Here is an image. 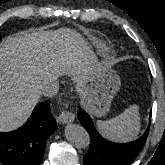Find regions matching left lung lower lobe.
<instances>
[{
	"label": "left lung lower lobe",
	"mask_w": 165,
	"mask_h": 165,
	"mask_svg": "<svg viewBox=\"0 0 165 165\" xmlns=\"http://www.w3.org/2000/svg\"><path fill=\"white\" fill-rule=\"evenodd\" d=\"M77 116L90 136V147L84 155L83 165H129L148 137L150 124L146 132L136 141L123 144L107 141L97 132L90 116L83 109Z\"/></svg>",
	"instance_id": "left-lung-lower-lobe-1"
}]
</instances>
